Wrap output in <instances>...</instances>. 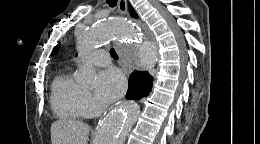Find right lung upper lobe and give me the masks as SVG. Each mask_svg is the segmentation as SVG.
<instances>
[{"label": "right lung upper lobe", "mask_w": 260, "mask_h": 144, "mask_svg": "<svg viewBox=\"0 0 260 144\" xmlns=\"http://www.w3.org/2000/svg\"><path fill=\"white\" fill-rule=\"evenodd\" d=\"M129 11H130V14H131L132 17H134V18L138 17L136 12L134 11V9L131 6L129 7Z\"/></svg>", "instance_id": "obj_1"}]
</instances>
